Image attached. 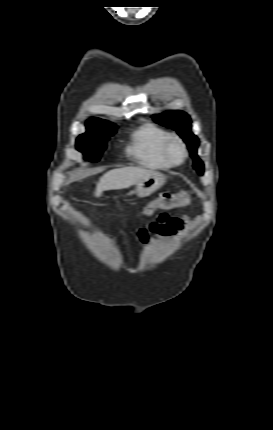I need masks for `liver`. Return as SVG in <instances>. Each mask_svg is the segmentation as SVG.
<instances>
[{"mask_svg": "<svg viewBox=\"0 0 273 430\" xmlns=\"http://www.w3.org/2000/svg\"><path fill=\"white\" fill-rule=\"evenodd\" d=\"M152 172V170L141 167L112 169L100 178L94 195L100 197L103 191L128 188Z\"/></svg>", "mask_w": 273, "mask_h": 430, "instance_id": "1", "label": "liver"}]
</instances>
